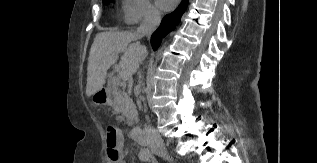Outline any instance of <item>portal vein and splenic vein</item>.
<instances>
[{
    "label": "portal vein and splenic vein",
    "mask_w": 317,
    "mask_h": 163,
    "mask_svg": "<svg viewBox=\"0 0 317 163\" xmlns=\"http://www.w3.org/2000/svg\"><path fill=\"white\" fill-rule=\"evenodd\" d=\"M120 76L118 75V77H113L112 78V84L113 85H117V84H119L120 83Z\"/></svg>",
    "instance_id": "portal-vein-and-splenic-vein-1"
}]
</instances>
